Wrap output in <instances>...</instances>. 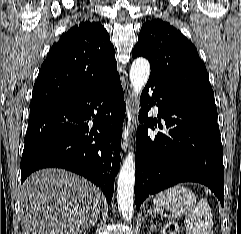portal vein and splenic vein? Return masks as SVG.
<instances>
[{
    "mask_svg": "<svg viewBox=\"0 0 241 234\" xmlns=\"http://www.w3.org/2000/svg\"><path fill=\"white\" fill-rule=\"evenodd\" d=\"M170 234H175L174 232H171Z\"/></svg>",
    "mask_w": 241,
    "mask_h": 234,
    "instance_id": "18ae733b",
    "label": "portal vein and splenic vein"
}]
</instances>
